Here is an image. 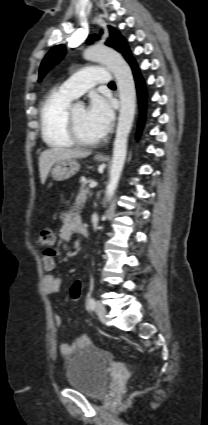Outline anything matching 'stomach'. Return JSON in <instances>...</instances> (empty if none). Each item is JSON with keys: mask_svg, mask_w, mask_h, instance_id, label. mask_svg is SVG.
<instances>
[{"mask_svg": "<svg viewBox=\"0 0 208 425\" xmlns=\"http://www.w3.org/2000/svg\"><path fill=\"white\" fill-rule=\"evenodd\" d=\"M101 162L104 159H97ZM80 169L79 163L75 159L58 161L51 170L52 177L55 181H64L74 176Z\"/></svg>", "mask_w": 208, "mask_h": 425, "instance_id": "stomach-1", "label": "stomach"}]
</instances>
